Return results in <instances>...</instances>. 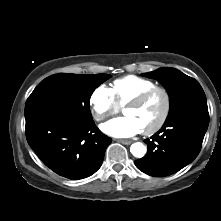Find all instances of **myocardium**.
<instances>
[{
  "label": "myocardium",
  "mask_w": 221,
  "mask_h": 221,
  "mask_svg": "<svg viewBox=\"0 0 221 221\" xmlns=\"http://www.w3.org/2000/svg\"><path fill=\"white\" fill-rule=\"evenodd\" d=\"M162 93L163 97H164V101H165V107H164V111L160 117V119L158 120V122L148 128L143 130V133L145 135H152L157 133L159 130L162 129V127L165 125V123L167 122L170 112H171V96L169 91L162 86H154L148 90H146L145 92L141 93L140 95H138L137 97L133 98L131 101H129L125 106L123 111L126 108L129 107H138L142 104H144L146 101H148L155 93Z\"/></svg>",
  "instance_id": "1"
}]
</instances>
